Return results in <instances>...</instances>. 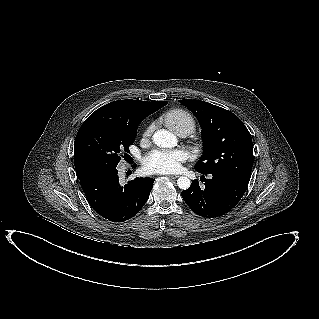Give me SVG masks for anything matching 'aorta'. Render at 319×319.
Segmentation results:
<instances>
[{
    "mask_svg": "<svg viewBox=\"0 0 319 319\" xmlns=\"http://www.w3.org/2000/svg\"><path fill=\"white\" fill-rule=\"evenodd\" d=\"M153 142L163 148L174 147L177 144L176 136L167 130L161 129L154 133ZM177 185L180 189L186 190L190 187V179L186 176H181L177 180Z\"/></svg>",
    "mask_w": 319,
    "mask_h": 319,
    "instance_id": "aorta-1",
    "label": "aorta"
}]
</instances>
